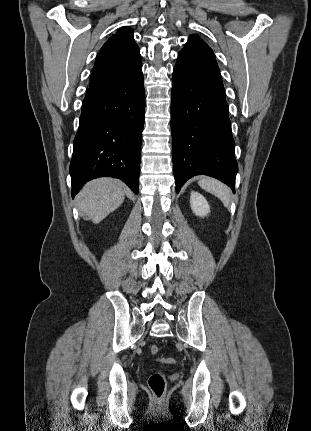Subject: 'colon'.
I'll return each mask as SVG.
<instances>
[{
  "label": "colon",
  "mask_w": 311,
  "mask_h": 431,
  "mask_svg": "<svg viewBox=\"0 0 311 431\" xmlns=\"http://www.w3.org/2000/svg\"><path fill=\"white\" fill-rule=\"evenodd\" d=\"M158 350V346L156 345H152L150 347V353L152 355H156L158 353ZM159 361L163 363H173L174 359L161 358L159 359ZM149 387L156 397H161L166 388V380L164 374L161 372L153 373L149 378Z\"/></svg>",
  "instance_id": "5ec220e1"
}]
</instances>
